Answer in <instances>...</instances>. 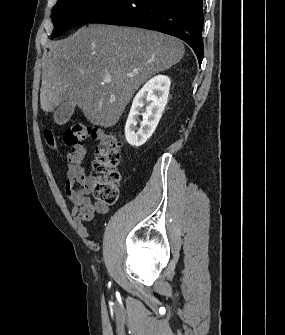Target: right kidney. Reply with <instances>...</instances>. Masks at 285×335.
<instances>
[{
	"instance_id": "1",
	"label": "right kidney",
	"mask_w": 285,
	"mask_h": 335,
	"mask_svg": "<svg viewBox=\"0 0 285 335\" xmlns=\"http://www.w3.org/2000/svg\"><path fill=\"white\" fill-rule=\"evenodd\" d=\"M170 84L168 76H155L136 94L125 126L126 140L133 148L143 146L156 130L167 104ZM139 116H143V122L136 132Z\"/></svg>"
}]
</instances>
